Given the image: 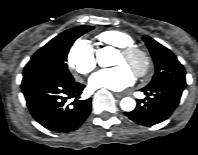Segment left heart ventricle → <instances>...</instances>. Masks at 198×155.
Segmentation results:
<instances>
[{"label":"left heart ventricle","mask_w":198,"mask_h":155,"mask_svg":"<svg viewBox=\"0 0 198 155\" xmlns=\"http://www.w3.org/2000/svg\"><path fill=\"white\" fill-rule=\"evenodd\" d=\"M123 63L127 64L131 69H133V66L129 62H127L124 59V57L119 53L116 59V64H123Z\"/></svg>","instance_id":"b2bd125f"}]
</instances>
